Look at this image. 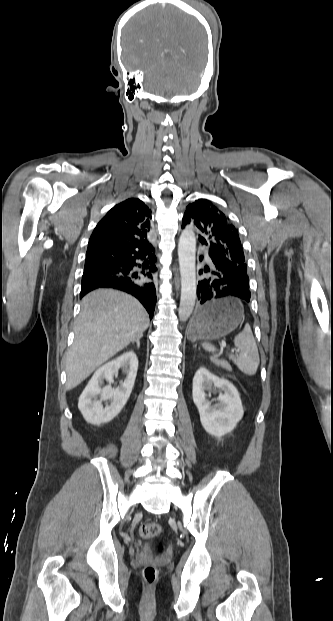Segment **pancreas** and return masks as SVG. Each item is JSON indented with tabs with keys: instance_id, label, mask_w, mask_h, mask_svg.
<instances>
[{
	"instance_id": "cf45deb5",
	"label": "pancreas",
	"mask_w": 333,
	"mask_h": 621,
	"mask_svg": "<svg viewBox=\"0 0 333 621\" xmlns=\"http://www.w3.org/2000/svg\"><path fill=\"white\" fill-rule=\"evenodd\" d=\"M211 361L216 364L217 366H220L222 368H224L227 371H232V367L230 366V364L223 359H218L217 357H211Z\"/></svg>"
}]
</instances>
